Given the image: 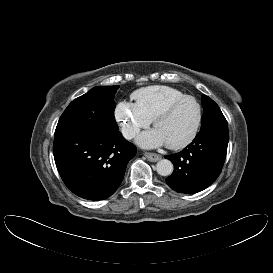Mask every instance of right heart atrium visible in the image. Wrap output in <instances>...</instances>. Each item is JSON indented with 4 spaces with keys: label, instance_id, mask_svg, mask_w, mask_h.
I'll return each mask as SVG.
<instances>
[{
    "label": "right heart atrium",
    "instance_id": "obj_1",
    "mask_svg": "<svg viewBox=\"0 0 273 273\" xmlns=\"http://www.w3.org/2000/svg\"><path fill=\"white\" fill-rule=\"evenodd\" d=\"M114 117L126 139L135 137L140 129L148 127L151 123L135 104L127 101H121L116 105Z\"/></svg>",
    "mask_w": 273,
    "mask_h": 273
}]
</instances>
